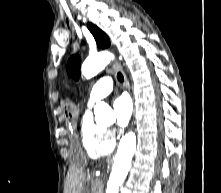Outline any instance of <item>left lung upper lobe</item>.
<instances>
[{"label":"left lung upper lobe","instance_id":"left-lung-upper-lobe-1","mask_svg":"<svg viewBox=\"0 0 221 193\" xmlns=\"http://www.w3.org/2000/svg\"><path fill=\"white\" fill-rule=\"evenodd\" d=\"M87 26L94 36L98 47L107 48L110 46V40L102 30L91 23H89ZM80 65L81 59L78 55H73L70 57L67 65L68 73L76 80L80 77Z\"/></svg>","mask_w":221,"mask_h":193}]
</instances>
